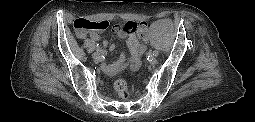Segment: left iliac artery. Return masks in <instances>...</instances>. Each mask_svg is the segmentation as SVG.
Wrapping results in <instances>:
<instances>
[{
  "mask_svg": "<svg viewBox=\"0 0 255 122\" xmlns=\"http://www.w3.org/2000/svg\"><path fill=\"white\" fill-rule=\"evenodd\" d=\"M152 54H153L154 56H158V55H159V52H158L157 50H154V51L152 52Z\"/></svg>",
  "mask_w": 255,
  "mask_h": 122,
  "instance_id": "obj_1",
  "label": "left iliac artery"
}]
</instances>
